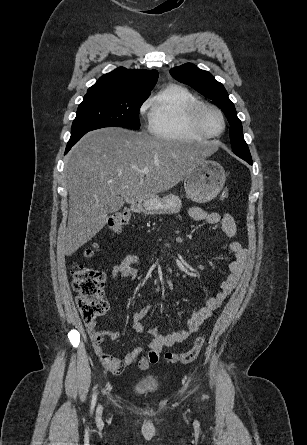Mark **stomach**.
Instances as JSON below:
<instances>
[{"mask_svg":"<svg viewBox=\"0 0 307 445\" xmlns=\"http://www.w3.org/2000/svg\"><path fill=\"white\" fill-rule=\"evenodd\" d=\"M226 180L225 170L217 160H200L184 178L188 198L194 202H209L222 190ZM146 214H174L180 212L182 200L177 194L146 196L141 202Z\"/></svg>","mask_w":307,"mask_h":445,"instance_id":"obj_1","label":"stomach"}]
</instances>
